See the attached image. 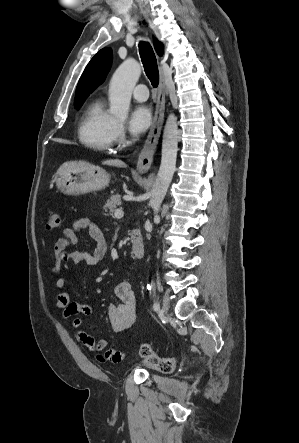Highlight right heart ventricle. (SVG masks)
Here are the masks:
<instances>
[{"mask_svg":"<svg viewBox=\"0 0 299 443\" xmlns=\"http://www.w3.org/2000/svg\"><path fill=\"white\" fill-rule=\"evenodd\" d=\"M116 121L107 113L100 99L91 102L82 114L78 139L86 148L97 152L112 150Z\"/></svg>","mask_w":299,"mask_h":443,"instance_id":"e07e8e85","label":"right heart ventricle"}]
</instances>
